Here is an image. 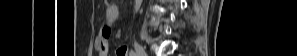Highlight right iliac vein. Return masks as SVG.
<instances>
[{"label":"right iliac vein","mask_w":297,"mask_h":56,"mask_svg":"<svg viewBox=\"0 0 297 56\" xmlns=\"http://www.w3.org/2000/svg\"><path fill=\"white\" fill-rule=\"evenodd\" d=\"M135 50L138 56H147L145 49L139 43H135Z\"/></svg>","instance_id":"63e3f726"}]
</instances>
